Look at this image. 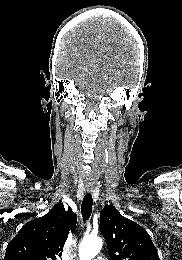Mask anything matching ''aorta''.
<instances>
[{
	"instance_id": "aorta-1",
	"label": "aorta",
	"mask_w": 182,
	"mask_h": 260,
	"mask_svg": "<svg viewBox=\"0 0 182 260\" xmlns=\"http://www.w3.org/2000/svg\"><path fill=\"white\" fill-rule=\"evenodd\" d=\"M103 242L97 236L83 238L79 245V259L92 260L101 250Z\"/></svg>"
}]
</instances>
